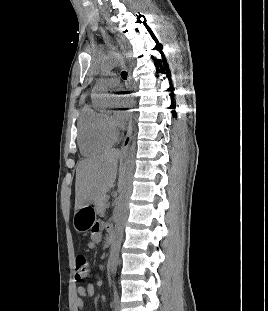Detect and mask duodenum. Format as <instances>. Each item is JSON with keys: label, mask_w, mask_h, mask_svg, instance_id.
I'll return each mask as SVG.
<instances>
[{"label": "duodenum", "mask_w": 268, "mask_h": 311, "mask_svg": "<svg viewBox=\"0 0 268 311\" xmlns=\"http://www.w3.org/2000/svg\"><path fill=\"white\" fill-rule=\"evenodd\" d=\"M114 239H115L114 231L110 230L108 238L109 243L112 244L114 242Z\"/></svg>", "instance_id": "410a0bca"}]
</instances>
